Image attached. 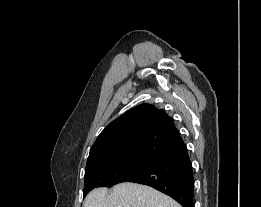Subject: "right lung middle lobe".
Wrapping results in <instances>:
<instances>
[{"label":"right lung middle lobe","instance_id":"dd1d6c3e","mask_svg":"<svg viewBox=\"0 0 261 207\" xmlns=\"http://www.w3.org/2000/svg\"><path fill=\"white\" fill-rule=\"evenodd\" d=\"M158 160L141 156H129L86 166L84 180V196L96 187H111L123 182L128 177L141 172Z\"/></svg>","mask_w":261,"mask_h":207}]
</instances>
